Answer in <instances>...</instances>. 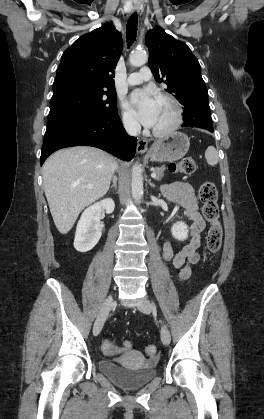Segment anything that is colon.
I'll return each instance as SVG.
<instances>
[{
  "label": "colon",
  "mask_w": 264,
  "mask_h": 419,
  "mask_svg": "<svg viewBox=\"0 0 264 419\" xmlns=\"http://www.w3.org/2000/svg\"><path fill=\"white\" fill-rule=\"evenodd\" d=\"M197 168L196 161L191 157L183 158L178 162L171 163L169 170L172 173L192 174ZM199 199L202 203V214L210 226L206 236V247L211 254L219 252L222 244V226L219 222V209L217 204V189L212 182L206 181L202 183L198 192ZM113 345L109 341H105L102 347L108 349ZM128 348V344L123 345ZM146 353L150 358H155L157 349L150 345L146 348Z\"/></svg>",
  "instance_id": "colon-1"
}]
</instances>
